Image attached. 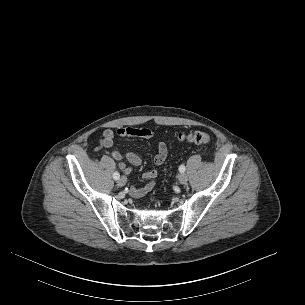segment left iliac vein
Wrapping results in <instances>:
<instances>
[{
  "label": "left iliac vein",
  "mask_w": 305,
  "mask_h": 305,
  "mask_svg": "<svg viewBox=\"0 0 305 305\" xmlns=\"http://www.w3.org/2000/svg\"><path fill=\"white\" fill-rule=\"evenodd\" d=\"M178 180L181 184H185L188 181V177L184 172H181L178 176Z\"/></svg>",
  "instance_id": "left-iliac-vein-1"
}]
</instances>
